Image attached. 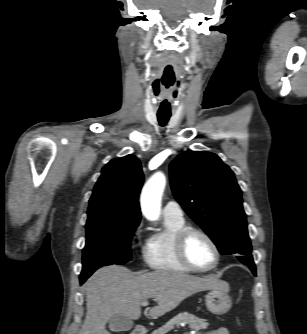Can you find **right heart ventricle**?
Returning a JSON list of instances; mask_svg holds the SVG:
<instances>
[{
    "mask_svg": "<svg viewBox=\"0 0 307 334\" xmlns=\"http://www.w3.org/2000/svg\"><path fill=\"white\" fill-rule=\"evenodd\" d=\"M184 227V220L165 218V229L152 234L144 248V261L149 268L171 273L192 272L181 263L175 251V236Z\"/></svg>",
    "mask_w": 307,
    "mask_h": 334,
    "instance_id": "obj_1",
    "label": "right heart ventricle"
}]
</instances>
